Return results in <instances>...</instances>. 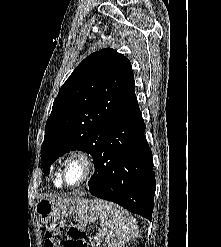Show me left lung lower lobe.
<instances>
[{"label":"left lung lower lobe","mask_w":221,"mask_h":247,"mask_svg":"<svg viewBox=\"0 0 221 247\" xmlns=\"http://www.w3.org/2000/svg\"><path fill=\"white\" fill-rule=\"evenodd\" d=\"M144 131L140 110L110 123L93 158L95 173L88 185L92 195L151 220L156 182Z\"/></svg>","instance_id":"obj_1"}]
</instances>
